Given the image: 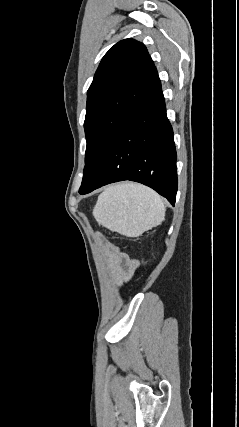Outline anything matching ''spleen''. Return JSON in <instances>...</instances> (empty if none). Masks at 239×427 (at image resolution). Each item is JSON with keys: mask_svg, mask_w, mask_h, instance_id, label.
Wrapping results in <instances>:
<instances>
[{"mask_svg": "<svg viewBox=\"0 0 239 427\" xmlns=\"http://www.w3.org/2000/svg\"><path fill=\"white\" fill-rule=\"evenodd\" d=\"M98 224L127 237H138L162 223L165 205L154 190L137 183L108 186L93 209Z\"/></svg>", "mask_w": 239, "mask_h": 427, "instance_id": "obj_1", "label": "spleen"}]
</instances>
